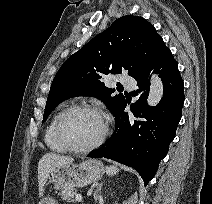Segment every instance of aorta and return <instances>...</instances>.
<instances>
[{
  "label": "aorta",
  "instance_id": "obj_1",
  "mask_svg": "<svg viewBox=\"0 0 212 204\" xmlns=\"http://www.w3.org/2000/svg\"><path fill=\"white\" fill-rule=\"evenodd\" d=\"M163 83L157 74H152L150 81V91L147 99L149 106H156L163 97Z\"/></svg>",
  "mask_w": 212,
  "mask_h": 204
}]
</instances>
